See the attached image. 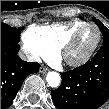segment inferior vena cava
<instances>
[{"mask_svg":"<svg viewBox=\"0 0 109 109\" xmlns=\"http://www.w3.org/2000/svg\"><path fill=\"white\" fill-rule=\"evenodd\" d=\"M19 56L23 59V60H26V61H30V62H33L35 60H37V58L31 54H24L23 52H20L19 53Z\"/></svg>","mask_w":109,"mask_h":109,"instance_id":"obj_1","label":"inferior vena cava"}]
</instances>
